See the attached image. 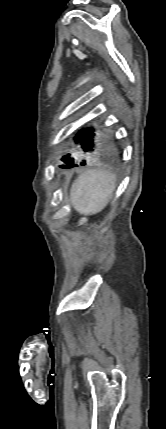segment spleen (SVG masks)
Wrapping results in <instances>:
<instances>
[{"mask_svg":"<svg viewBox=\"0 0 166 429\" xmlns=\"http://www.w3.org/2000/svg\"><path fill=\"white\" fill-rule=\"evenodd\" d=\"M116 188V175L108 170H87L78 176L70 190V201L82 215L102 211Z\"/></svg>","mask_w":166,"mask_h":429,"instance_id":"1","label":"spleen"}]
</instances>
